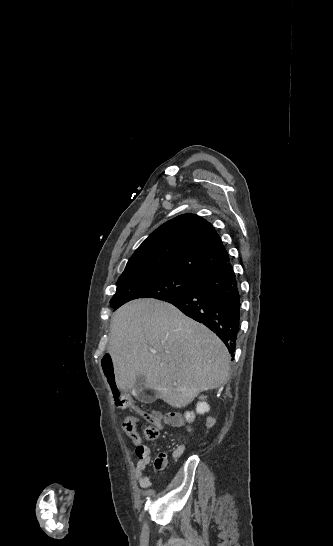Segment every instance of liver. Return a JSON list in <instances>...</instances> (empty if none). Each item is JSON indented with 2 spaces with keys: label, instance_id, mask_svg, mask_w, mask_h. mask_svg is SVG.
Returning a JSON list of instances; mask_svg holds the SVG:
<instances>
[{
  "label": "liver",
  "instance_id": "1",
  "mask_svg": "<svg viewBox=\"0 0 333 546\" xmlns=\"http://www.w3.org/2000/svg\"><path fill=\"white\" fill-rule=\"evenodd\" d=\"M108 353L118 389H133L144 375L146 387L176 408L229 378L230 355L223 342L173 305L155 299L134 300L115 312Z\"/></svg>",
  "mask_w": 333,
  "mask_h": 546
}]
</instances>
